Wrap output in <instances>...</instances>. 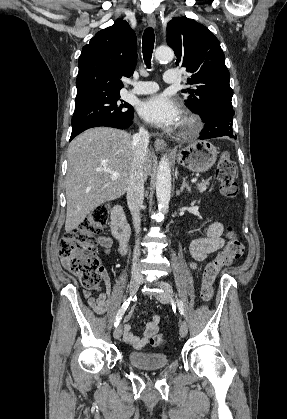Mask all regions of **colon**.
Segmentation results:
<instances>
[{
    "label": "colon",
    "instance_id": "obj_1",
    "mask_svg": "<svg viewBox=\"0 0 287 419\" xmlns=\"http://www.w3.org/2000/svg\"><path fill=\"white\" fill-rule=\"evenodd\" d=\"M216 176L222 195L234 199L239 192L237 170L228 152L222 154L217 165ZM108 213L109 207L106 204L95 207L77 228L61 239L59 244V252L68 260L70 270L79 277L81 285L89 291L98 290L101 281L102 265L96 253V235L104 230ZM227 236L226 247L204 269L201 298L205 302L213 298V285L220 270L238 261L244 254V246L232 226L228 227ZM150 341L153 346L159 348H164L168 344L167 340L159 334L153 335Z\"/></svg>",
    "mask_w": 287,
    "mask_h": 419
}]
</instances>
